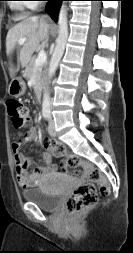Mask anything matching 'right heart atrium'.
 Listing matches in <instances>:
<instances>
[{"label":"right heart atrium","mask_w":133,"mask_h":253,"mask_svg":"<svg viewBox=\"0 0 133 253\" xmlns=\"http://www.w3.org/2000/svg\"><path fill=\"white\" fill-rule=\"evenodd\" d=\"M35 0H29V2H28V6L29 7H33L34 5H35V2H34Z\"/></svg>","instance_id":"obj_1"}]
</instances>
